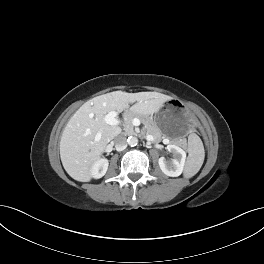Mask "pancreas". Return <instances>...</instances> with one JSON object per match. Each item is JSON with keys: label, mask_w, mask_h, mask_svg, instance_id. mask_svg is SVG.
Here are the masks:
<instances>
[{"label": "pancreas", "mask_w": 264, "mask_h": 264, "mask_svg": "<svg viewBox=\"0 0 264 264\" xmlns=\"http://www.w3.org/2000/svg\"><path fill=\"white\" fill-rule=\"evenodd\" d=\"M134 118H138L141 120V122L145 125L146 133L153 135L156 141H160L161 139H163L161 131L157 127V125H155L150 120L144 118L143 116H141L140 114L135 113V112H129L126 115V118H125V125H126L125 132L126 133H132L133 132L132 121Z\"/></svg>", "instance_id": "1"}]
</instances>
